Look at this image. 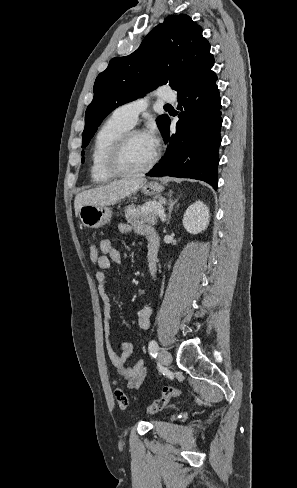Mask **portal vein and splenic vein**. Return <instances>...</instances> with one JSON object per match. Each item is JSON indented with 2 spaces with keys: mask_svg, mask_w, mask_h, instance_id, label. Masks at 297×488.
<instances>
[{
  "mask_svg": "<svg viewBox=\"0 0 297 488\" xmlns=\"http://www.w3.org/2000/svg\"><path fill=\"white\" fill-rule=\"evenodd\" d=\"M162 208H163V205L162 203H157V204H153V205H147L146 206V209L147 210H156L159 214H160V217H161V220H163V216H162Z\"/></svg>",
  "mask_w": 297,
  "mask_h": 488,
  "instance_id": "portal-vein-and-splenic-vein-1",
  "label": "portal vein and splenic vein"
}]
</instances>
